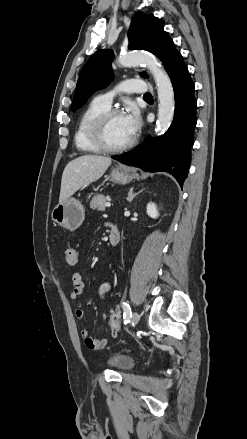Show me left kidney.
I'll use <instances>...</instances> for the list:
<instances>
[{
	"label": "left kidney",
	"instance_id": "5707ae66",
	"mask_svg": "<svg viewBox=\"0 0 247 439\" xmlns=\"http://www.w3.org/2000/svg\"><path fill=\"white\" fill-rule=\"evenodd\" d=\"M147 214L153 219H156L159 216L156 204L152 202L147 204Z\"/></svg>",
	"mask_w": 247,
	"mask_h": 439
}]
</instances>
